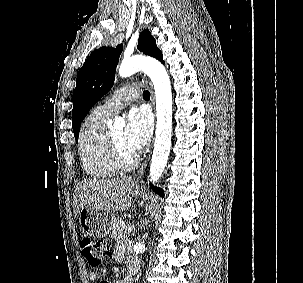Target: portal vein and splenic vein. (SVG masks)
I'll use <instances>...</instances> for the list:
<instances>
[{
	"label": "portal vein and splenic vein",
	"instance_id": "obj_1",
	"mask_svg": "<svg viewBox=\"0 0 303 283\" xmlns=\"http://www.w3.org/2000/svg\"><path fill=\"white\" fill-rule=\"evenodd\" d=\"M133 230H135V227H134V226H127V227H126V231H127L128 233L133 232Z\"/></svg>",
	"mask_w": 303,
	"mask_h": 283
}]
</instances>
